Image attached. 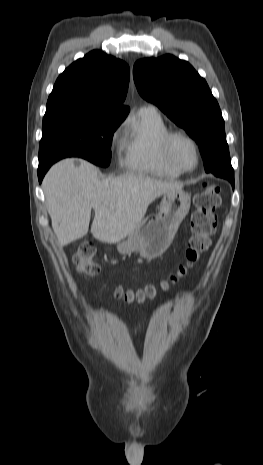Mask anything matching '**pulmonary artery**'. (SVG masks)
I'll return each mask as SVG.
<instances>
[{
  "label": "pulmonary artery",
  "instance_id": "e3ab8cb5",
  "mask_svg": "<svg viewBox=\"0 0 263 465\" xmlns=\"http://www.w3.org/2000/svg\"><path fill=\"white\" fill-rule=\"evenodd\" d=\"M141 109L156 111V108L153 105H146V106H143Z\"/></svg>",
  "mask_w": 263,
  "mask_h": 465
}]
</instances>
